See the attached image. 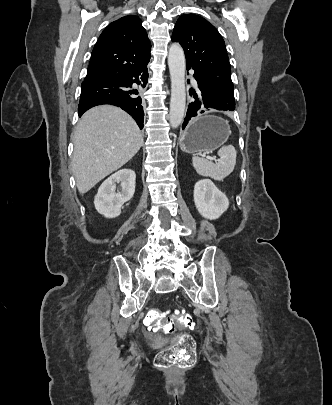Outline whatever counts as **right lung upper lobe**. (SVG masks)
<instances>
[{
  "instance_id": "obj_1",
  "label": "right lung upper lobe",
  "mask_w": 332,
  "mask_h": 405,
  "mask_svg": "<svg viewBox=\"0 0 332 405\" xmlns=\"http://www.w3.org/2000/svg\"><path fill=\"white\" fill-rule=\"evenodd\" d=\"M151 44L141 19L124 16L110 23L92 51L86 78L130 71L151 57Z\"/></svg>"
}]
</instances>
